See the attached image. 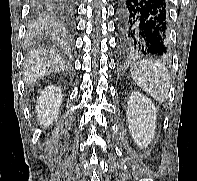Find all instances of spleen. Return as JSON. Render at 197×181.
Returning a JSON list of instances; mask_svg holds the SVG:
<instances>
[{
	"instance_id": "obj_1",
	"label": "spleen",
	"mask_w": 197,
	"mask_h": 181,
	"mask_svg": "<svg viewBox=\"0 0 197 181\" xmlns=\"http://www.w3.org/2000/svg\"><path fill=\"white\" fill-rule=\"evenodd\" d=\"M133 80L158 102L168 98V71L158 61H141L131 68Z\"/></svg>"
}]
</instances>
